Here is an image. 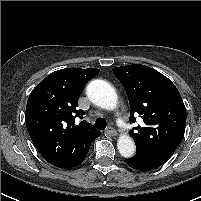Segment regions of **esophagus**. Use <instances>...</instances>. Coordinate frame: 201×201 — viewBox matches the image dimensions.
Here are the masks:
<instances>
[{
    "instance_id": "34e87169",
    "label": "esophagus",
    "mask_w": 201,
    "mask_h": 201,
    "mask_svg": "<svg viewBox=\"0 0 201 201\" xmlns=\"http://www.w3.org/2000/svg\"><path fill=\"white\" fill-rule=\"evenodd\" d=\"M106 133H107L108 135H110V136H115V135H116V131H115V129L112 128V127H108V128L106 129Z\"/></svg>"
}]
</instances>
